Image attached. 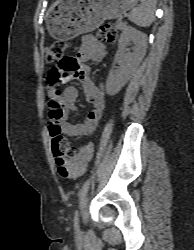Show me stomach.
Wrapping results in <instances>:
<instances>
[{"label": "stomach", "mask_w": 194, "mask_h": 250, "mask_svg": "<svg viewBox=\"0 0 194 250\" xmlns=\"http://www.w3.org/2000/svg\"><path fill=\"white\" fill-rule=\"evenodd\" d=\"M138 0H59L49 10L47 29L60 41H67L98 28L104 20L120 17Z\"/></svg>", "instance_id": "1"}]
</instances>
